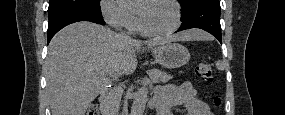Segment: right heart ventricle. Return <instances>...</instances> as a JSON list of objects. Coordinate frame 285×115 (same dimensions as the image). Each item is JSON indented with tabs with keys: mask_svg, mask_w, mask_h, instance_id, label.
<instances>
[{
	"mask_svg": "<svg viewBox=\"0 0 285 115\" xmlns=\"http://www.w3.org/2000/svg\"><path fill=\"white\" fill-rule=\"evenodd\" d=\"M135 29H137V30H138V29H139V28H138V26H136V28H135Z\"/></svg>",
	"mask_w": 285,
	"mask_h": 115,
	"instance_id": "e07e8e85",
	"label": "right heart ventricle"
}]
</instances>
